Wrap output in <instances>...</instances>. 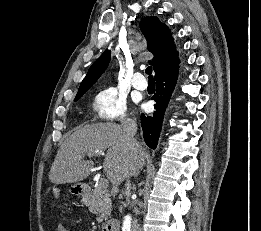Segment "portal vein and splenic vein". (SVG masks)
<instances>
[{
	"label": "portal vein and splenic vein",
	"mask_w": 261,
	"mask_h": 231,
	"mask_svg": "<svg viewBox=\"0 0 261 231\" xmlns=\"http://www.w3.org/2000/svg\"><path fill=\"white\" fill-rule=\"evenodd\" d=\"M103 151H95L93 153H89L88 156H92V155H101ZM99 186L103 189H107L108 187V180L106 178H101L99 181Z\"/></svg>",
	"instance_id": "portal-vein-and-splenic-vein-1"
}]
</instances>
